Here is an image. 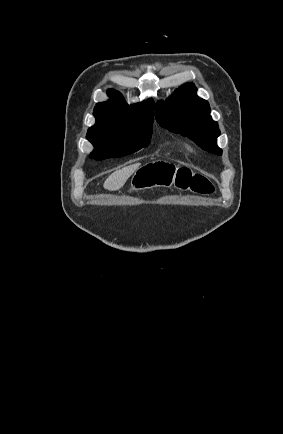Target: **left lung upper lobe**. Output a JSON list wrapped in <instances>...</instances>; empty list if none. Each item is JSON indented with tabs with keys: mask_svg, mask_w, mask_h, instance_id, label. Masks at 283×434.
Here are the masks:
<instances>
[{
	"mask_svg": "<svg viewBox=\"0 0 283 434\" xmlns=\"http://www.w3.org/2000/svg\"><path fill=\"white\" fill-rule=\"evenodd\" d=\"M196 92L193 83L180 86L169 99L156 104V120L169 131L194 140L202 149L221 155L222 150L216 145L218 124L210 116L208 102Z\"/></svg>",
	"mask_w": 283,
	"mask_h": 434,
	"instance_id": "5c2ea615",
	"label": "left lung upper lobe"
}]
</instances>
